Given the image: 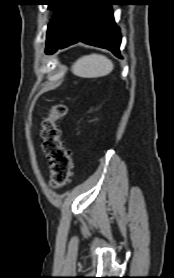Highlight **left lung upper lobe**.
Here are the masks:
<instances>
[{
	"instance_id": "left-lung-upper-lobe-1",
	"label": "left lung upper lobe",
	"mask_w": 174,
	"mask_h": 278,
	"mask_svg": "<svg viewBox=\"0 0 174 278\" xmlns=\"http://www.w3.org/2000/svg\"><path fill=\"white\" fill-rule=\"evenodd\" d=\"M78 0H49L48 8L55 13L48 24L46 52L54 47L66 34Z\"/></svg>"
}]
</instances>
